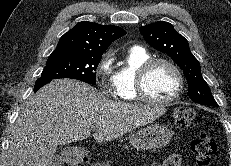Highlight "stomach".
<instances>
[{"instance_id":"1","label":"stomach","mask_w":231,"mask_h":166,"mask_svg":"<svg viewBox=\"0 0 231 166\" xmlns=\"http://www.w3.org/2000/svg\"><path fill=\"white\" fill-rule=\"evenodd\" d=\"M172 137V131L164 125H151L142 128L130 135V144L138 150H154L167 145ZM79 158L78 153H69L65 160L75 161Z\"/></svg>"}]
</instances>
